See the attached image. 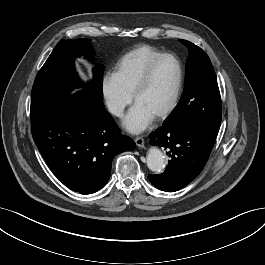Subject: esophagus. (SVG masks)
I'll use <instances>...</instances> for the list:
<instances>
[{
	"mask_svg": "<svg viewBox=\"0 0 265 265\" xmlns=\"http://www.w3.org/2000/svg\"><path fill=\"white\" fill-rule=\"evenodd\" d=\"M135 143L138 147H144V139L142 137H136Z\"/></svg>",
	"mask_w": 265,
	"mask_h": 265,
	"instance_id": "obj_1",
	"label": "esophagus"
}]
</instances>
